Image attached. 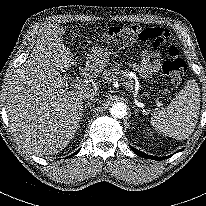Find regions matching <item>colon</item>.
Returning <instances> with one entry per match:
<instances>
[{
  "label": "colon",
  "mask_w": 206,
  "mask_h": 206,
  "mask_svg": "<svg viewBox=\"0 0 206 206\" xmlns=\"http://www.w3.org/2000/svg\"><path fill=\"white\" fill-rule=\"evenodd\" d=\"M105 39L114 45H125L133 40L141 42L151 41L154 48H159L163 45H168L171 36L169 31L164 28L151 27L140 29L136 25H130L110 29ZM165 56L162 70L173 84H179L185 74L186 63L179 56V50L176 46L168 45L165 50Z\"/></svg>",
  "instance_id": "1"
}]
</instances>
